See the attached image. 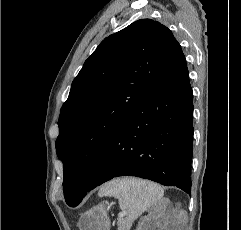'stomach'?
Returning <instances> with one entry per match:
<instances>
[{
    "label": "stomach",
    "mask_w": 241,
    "mask_h": 230,
    "mask_svg": "<svg viewBox=\"0 0 241 230\" xmlns=\"http://www.w3.org/2000/svg\"><path fill=\"white\" fill-rule=\"evenodd\" d=\"M111 204L102 202L84 212L79 221V230H110L108 210Z\"/></svg>",
    "instance_id": "1"
}]
</instances>
